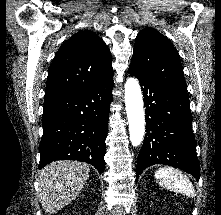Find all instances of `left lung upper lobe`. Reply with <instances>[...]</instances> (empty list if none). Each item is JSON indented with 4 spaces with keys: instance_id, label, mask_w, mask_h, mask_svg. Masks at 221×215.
Returning a JSON list of instances; mask_svg holds the SVG:
<instances>
[{
    "instance_id": "obj_1",
    "label": "left lung upper lobe",
    "mask_w": 221,
    "mask_h": 215,
    "mask_svg": "<svg viewBox=\"0 0 221 215\" xmlns=\"http://www.w3.org/2000/svg\"><path fill=\"white\" fill-rule=\"evenodd\" d=\"M130 69L177 91L187 93L180 57L169 39L153 28L136 37Z\"/></svg>"
}]
</instances>
